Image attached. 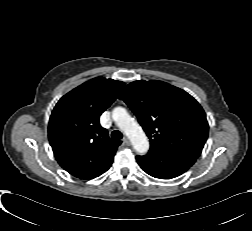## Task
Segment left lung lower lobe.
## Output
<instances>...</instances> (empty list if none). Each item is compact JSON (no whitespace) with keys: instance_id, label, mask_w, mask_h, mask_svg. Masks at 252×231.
Wrapping results in <instances>:
<instances>
[{"instance_id":"0a47b994","label":"left lung lower lobe","mask_w":252,"mask_h":231,"mask_svg":"<svg viewBox=\"0 0 252 231\" xmlns=\"http://www.w3.org/2000/svg\"><path fill=\"white\" fill-rule=\"evenodd\" d=\"M198 157L175 151H149L145 156H136L140 167L149 175L171 179L187 171Z\"/></svg>"}]
</instances>
